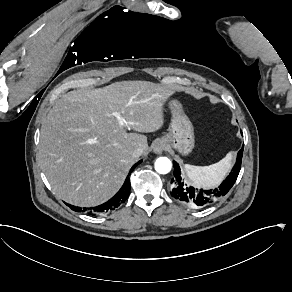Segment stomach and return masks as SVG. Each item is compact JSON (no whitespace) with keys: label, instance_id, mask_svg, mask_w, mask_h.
Listing matches in <instances>:
<instances>
[{"label":"stomach","instance_id":"stomach-1","mask_svg":"<svg viewBox=\"0 0 292 292\" xmlns=\"http://www.w3.org/2000/svg\"><path fill=\"white\" fill-rule=\"evenodd\" d=\"M172 119L168 133L160 140L171 145L180 153L187 155L194 148V128L183 111L182 105L177 100L169 102Z\"/></svg>","mask_w":292,"mask_h":292}]
</instances>
